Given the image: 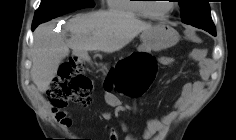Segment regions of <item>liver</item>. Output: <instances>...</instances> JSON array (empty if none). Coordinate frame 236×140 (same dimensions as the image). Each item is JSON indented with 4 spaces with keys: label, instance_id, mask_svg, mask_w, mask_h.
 Returning a JSON list of instances; mask_svg holds the SVG:
<instances>
[{
    "label": "liver",
    "instance_id": "1",
    "mask_svg": "<svg viewBox=\"0 0 236 140\" xmlns=\"http://www.w3.org/2000/svg\"><path fill=\"white\" fill-rule=\"evenodd\" d=\"M53 28V24L47 23L34 31L31 78L42 93L49 88L61 61L69 55V49L80 56H86L88 51L113 53L152 26L131 14L98 11L71 19L65 26V31L70 32L69 39L65 32L58 34Z\"/></svg>",
    "mask_w": 236,
    "mask_h": 140
}]
</instances>
